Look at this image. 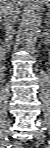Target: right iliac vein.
Here are the masks:
<instances>
[{
	"label": "right iliac vein",
	"mask_w": 50,
	"mask_h": 148,
	"mask_svg": "<svg viewBox=\"0 0 50 148\" xmlns=\"http://www.w3.org/2000/svg\"><path fill=\"white\" fill-rule=\"evenodd\" d=\"M10 124V119L8 118L6 123L3 125L2 130L0 131V146L4 147L7 140V126Z\"/></svg>",
	"instance_id": "63e3f726"
}]
</instances>
